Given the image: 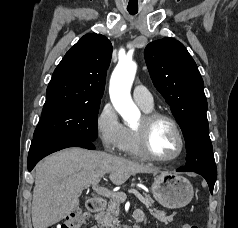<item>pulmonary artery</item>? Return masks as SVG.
Returning a JSON list of instances; mask_svg holds the SVG:
<instances>
[{
    "mask_svg": "<svg viewBox=\"0 0 238 228\" xmlns=\"http://www.w3.org/2000/svg\"><path fill=\"white\" fill-rule=\"evenodd\" d=\"M134 101L144 109L153 107V97L150 91L143 85H136L132 91Z\"/></svg>",
    "mask_w": 238,
    "mask_h": 228,
    "instance_id": "e3ab8cb5",
    "label": "pulmonary artery"
}]
</instances>
